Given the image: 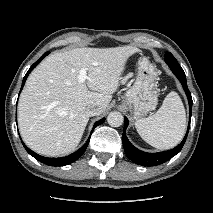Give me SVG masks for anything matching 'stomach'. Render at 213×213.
<instances>
[{"label":"stomach","mask_w":213,"mask_h":213,"mask_svg":"<svg viewBox=\"0 0 213 213\" xmlns=\"http://www.w3.org/2000/svg\"><path fill=\"white\" fill-rule=\"evenodd\" d=\"M158 71L147 58H141L138 63L137 78L124 96L123 105L137 119L154 110L158 98L156 82Z\"/></svg>","instance_id":"obj_1"}]
</instances>
